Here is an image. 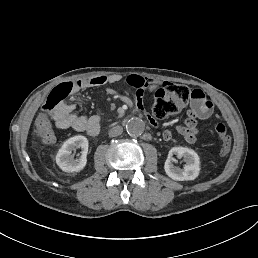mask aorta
<instances>
[{"instance_id": "762f6f07", "label": "aorta", "mask_w": 258, "mask_h": 258, "mask_svg": "<svg viewBox=\"0 0 258 258\" xmlns=\"http://www.w3.org/2000/svg\"><path fill=\"white\" fill-rule=\"evenodd\" d=\"M145 129V122L138 117H132L126 123V131L130 136H139Z\"/></svg>"}]
</instances>
